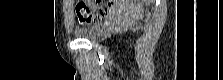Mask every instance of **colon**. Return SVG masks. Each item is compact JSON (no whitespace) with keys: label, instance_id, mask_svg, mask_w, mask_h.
Segmentation results:
<instances>
[{"label":"colon","instance_id":"5ec220e1","mask_svg":"<svg viewBox=\"0 0 223 80\" xmlns=\"http://www.w3.org/2000/svg\"><path fill=\"white\" fill-rule=\"evenodd\" d=\"M119 2L114 0L109 2L108 6H102L99 1L96 4L89 1H78L75 5L76 16L81 23L89 25L99 24L109 14L112 7Z\"/></svg>","mask_w":223,"mask_h":80}]
</instances>
